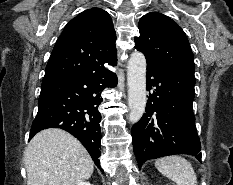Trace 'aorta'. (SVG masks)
I'll return each instance as SVG.
<instances>
[{
  "label": "aorta",
  "instance_id": "aorta-1",
  "mask_svg": "<svg viewBox=\"0 0 233 185\" xmlns=\"http://www.w3.org/2000/svg\"><path fill=\"white\" fill-rule=\"evenodd\" d=\"M128 84V119L137 123L145 112L146 97V59L143 53L135 51L131 54L127 65Z\"/></svg>",
  "mask_w": 233,
  "mask_h": 185
}]
</instances>
